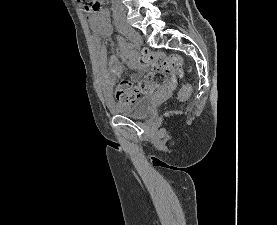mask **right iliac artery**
I'll return each instance as SVG.
<instances>
[{
	"label": "right iliac artery",
	"mask_w": 277,
	"mask_h": 225,
	"mask_svg": "<svg viewBox=\"0 0 277 225\" xmlns=\"http://www.w3.org/2000/svg\"><path fill=\"white\" fill-rule=\"evenodd\" d=\"M127 46L132 49L134 47V44L132 43V41H128Z\"/></svg>",
	"instance_id": "right-iliac-artery-1"
}]
</instances>
